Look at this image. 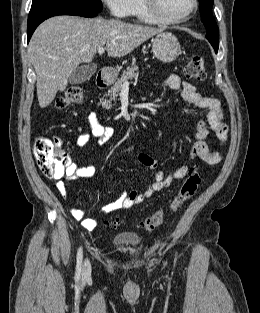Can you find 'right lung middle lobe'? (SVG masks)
<instances>
[{"instance_id":"1","label":"right lung middle lobe","mask_w":260,"mask_h":313,"mask_svg":"<svg viewBox=\"0 0 260 313\" xmlns=\"http://www.w3.org/2000/svg\"><path fill=\"white\" fill-rule=\"evenodd\" d=\"M41 7L76 8L95 12L103 9L100 0H33L31 9Z\"/></svg>"}]
</instances>
